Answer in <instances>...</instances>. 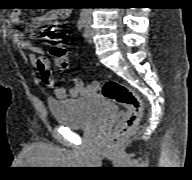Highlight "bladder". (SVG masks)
<instances>
[{"mask_svg": "<svg viewBox=\"0 0 192 180\" xmlns=\"http://www.w3.org/2000/svg\"><path fill=\"white\" fill-rule=\"evenodd\" d=\"M48 109L58 124L72 129L88 127L117 112L116 105L101 96L62 101L49 100Z\"/></svg>", "mask_w": 192, "mask_h": 180, "instance_id": "31cf9c89", "label": "bladder"}]
</instances>
